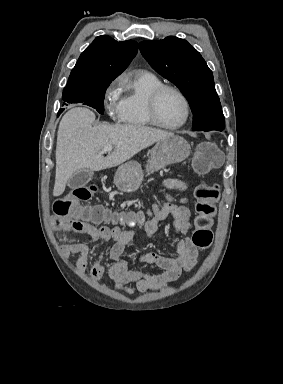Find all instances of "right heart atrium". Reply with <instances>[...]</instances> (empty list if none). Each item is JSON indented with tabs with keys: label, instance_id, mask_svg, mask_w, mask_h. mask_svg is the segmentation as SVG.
Listing matches in <instances>:
<instances>
[{
	"label": "right heart atrium",
	"instance_id": "right-heart-atrium-1",
	"mask_svg": "<svg viewBox=\"0 0 283 384\" xmlns=\"http://www.w3.org/2000/svg\"><path fill=\"white\" fill-rule=\"evenodd\" d=\"M123 81L121 76H117L110 80L103 89V106L113 121H121V92Z\"/></svg>",
	"mask_w": 283,
	"mask_h": 384
}]
</instances>
